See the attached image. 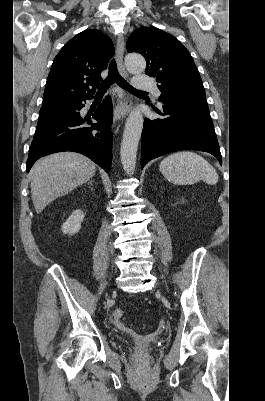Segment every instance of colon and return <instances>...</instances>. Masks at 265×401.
I'll return each mask as SVG.
<instances>
[{"mask_svg": "<svg viewBox=\"0 0 265 401\" xmlns=\"http://www.w3.org/2000/svg\"><path fill=\"white\" fill-rule=\"evenodd\" d=\"M124 316V312L121 309H116L113 313L114 320L119 322Z\"/></svg>", "mask_w": 265, "mask_h": 401, "instance_id": "1", "label": "colon"}]
</instances>
